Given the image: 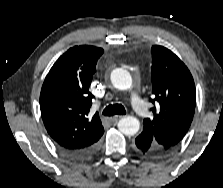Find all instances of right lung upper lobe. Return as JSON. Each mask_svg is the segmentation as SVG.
<instances>
[{"label":"right lung upper lobe","instance_id":"obj_1","mask_svg":"<svg viewBox=\"0 0 223 188\" xmlns=\"http://www.w3.org/2000/svg\"><path fill=\"white\" fill-rule=\"evenodd\" d=\"M103 49L75 46L55 62L42 85L40 109L45 128L55 143L82 149L97 143L104 128L98 113L89 116V86Z\"/></svg>","mask_w":223,"mask_h":188}]
</instances>
